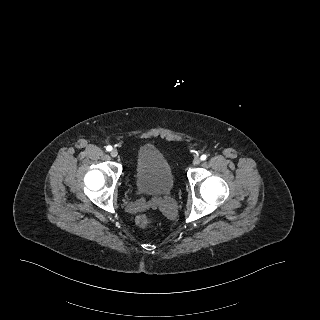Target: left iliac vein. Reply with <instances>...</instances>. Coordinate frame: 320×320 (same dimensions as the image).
Returning a JSON list of instances; mask_svg holds the SVG:
<instances>
[{
    "instance_id": "4c4485c4",
    "label": "left iliac vein",
    "mask_w": 320,
    "mask_h": 320,
    "mask_svg": "<svg viewBox=\"0 0 320 320\" xmlns=\"http://www.w3.org/2000/svg\"><path fill=\"white\" fill-rule=\"evenodd\" d=\"M200 163H201V158H195L193 160V165H195V166L199 165Z\"/></svg>"
}]
</instances>
